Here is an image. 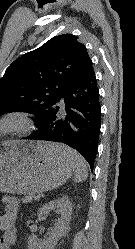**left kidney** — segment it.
Returning a JSON list of instances; mask_svg holds the SVG:
<instances>
[{
    "instance_id": "obj_1",
    "label": "left kidney",
    "mask_w": 135,
    "mask_h": 249,
    "mask_svg": "<svg viewBox=\"0 0 135 249\" xmlns=\"http://www.w3.org/2000/svg\"><path fill=\"white\" fill-rule=\"evenodd\" d=\"M51 211L60 215L49 236L43 240L28 237V249H54L59 239L68 230L72 214V203L67 197L58 198L43 205L38 211V217L46 218Z\"/></svg>"
}]
</instances>
